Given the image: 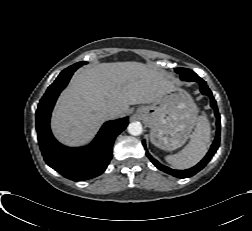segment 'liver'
<instances>
[{"mask_svg": "<svg viewBox=\"0 0 252 231\" xmlns=\"http://www.w3.org/2000/svg\"><path fill=\"white\" fill-rule=\"evenodd\" d=\"M175 90L162 70L140 62L100 63L76 72L52 115V130L64 144L83 145L108 118L123 116L130 105L150 104ZM107 108L117 114L109 117Z\"/></svg>", "mask_w": 252, "mask_h": 231, "instance_id": "6515ba94", "label": "liver"}]
</instances>
